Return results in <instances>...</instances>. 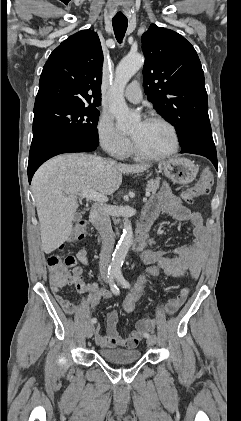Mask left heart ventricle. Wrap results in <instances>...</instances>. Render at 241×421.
<instances>
[{"mask_svg": "<svg viewBox=\"0 0 241 421\" xmlns=\"http://www.w3.org/2000/svg\"><path fill=\"white\" fill-rule=\"evenodd\" d=\"M141 150L158 155L167 152L173 144L170 130L161 123L136 122L129 131Z\"/></svg>", "mask_w": 241, "mask_h": 421, "instance_id": "obj_1", "label": "left heart ventricle"}]
</instances>
